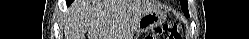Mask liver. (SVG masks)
Listing matches in <instances>:
<instances>
[{
    "mask_svg": "<svg viewBox=\"0 0 249 39\" xmlns=\"http://www.w3.org/2000/svg\"><path fill=\"white\" fill-rule=\"evenodd\" d=\"M155 9L148 0H78L70 9L65 37L85 39L86 32L88 39L130 37L138 20Z\"/></svg>",
    "mask_w": 249,
    "mask_h": 39,
    "instance_id": "1",
    "label": "liver"
}]
</instances>
